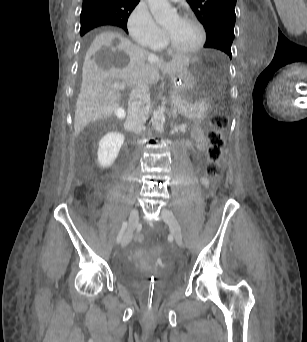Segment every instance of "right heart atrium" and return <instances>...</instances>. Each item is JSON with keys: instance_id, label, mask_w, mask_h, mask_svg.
Wrapping results in <instances>:
<instances>
[{"instance_id": "1", "label": "right heart atrium", "mask_w": 307, "mask_h": 342, "mask_svg": "<svg viewBox=\"0 0 307 342\" xmlns=\"http://www.w3.org/2000/svg\"><path fill=\"white\" fill-rule=\"evenodd\" d=\"M129 36L142 47H157L163 42V34L155 25L149 10L139 5L127 20Z\"/></svg>"}]
</instances>
